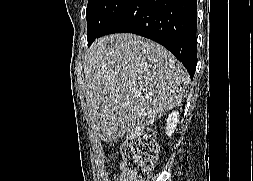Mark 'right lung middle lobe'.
I'll return each mask as SVG.
<instances>
[{"mask_svg":"<svg viewBox=\"0 0 253 181\" xmlns=\"http://www.w3.org/2000/svg\"><path fill=\"white\" fill-rule=\"evenodd\" d=\"M130 0H89L86 10L87 35L100 32Z\"/></svg>","mask_w":253,"mask_h":181,"instance_id":"right-lung-middle-lobe-1","label":"right lung middle lobe"}]
</instances>
